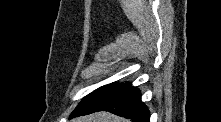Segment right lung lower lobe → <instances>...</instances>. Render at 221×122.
<instances>
[{"label":"right lung lower lobe","mask_w":221,"mask_h":122,"mask_svg":"<svg viewBox=\"0 0 221 122\" xmlns=\"http://www.w3.org/2000/svg\"><path fill=\"white\" fill-rule=\"evenodd\" d=\"M97 111H109L131 119L133 122H150V114L138 89L130 83H122L82 101L72 112L71 117L90 114Z\"/></svg>","instance_id":"right-lung-lower-lobe-1"}]
</instances>
